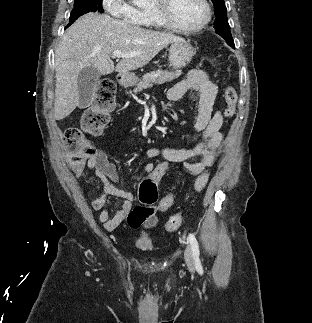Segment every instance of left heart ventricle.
Returning a JSON list of instances; mask_svg holds the SVG:
<instances>
[{"label":"left heart ventricle","mask_w":312,"mask_h":323,"mask_svg":"<svg viewBox=\"0 0 312 323\" xmlns=\"http://www.w3.org/2000/svg\"><path fill=\"white\" fill-rule=\"evenodd\" d=\"M167 4L166 13L181 22H194L195 18H206L208 14L202 0H167Z\"/></svg>","instance_id":"1"}]
</instances>
